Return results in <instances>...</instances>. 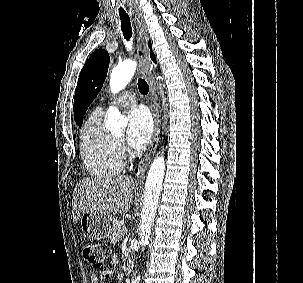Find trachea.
I'll list each match as a JSON object with an SVG mask.
<instances>
[{"mask_svg":"<svg viewBox=\"0 0 303 283\" xmlns=\"http://www.w3.org/2000/svg\"><path fill=\"white\" fill-rule=\"evenodd\" d=\"M120 19H121V29L123 32V36L127 41H129L130 38L132 37V28H131L130 19L129 17L126 16H121ZM138 89L140 93H142L143 95H146L149 91V86L147 82L142 78H139L138 80Z\"/></svg>","mask_w":303,"mask_h":283,"instance_id":"obj_1","label":"trachea"}]
</instances>
